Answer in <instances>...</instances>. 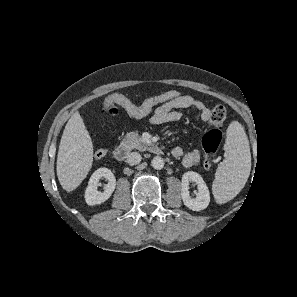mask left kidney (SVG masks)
I'll return each mask as SVG.
<instances>
[{"label":"left kidney","mask_w":297,"mask_h":297,"mask_svg":"<svg viewBox=\"0 0 297 297\" xmlns=\"http://www.w3.org/2000/svg\"><path fill=\"white\" fill-rule=\"evenodd\" d=\"M194 182L198 187L196 198H191L189 194V183ZM181 197L184 205L193 211H200L209 205L210 193L206 183L200 174L188 171L183 174L181 180Z\"/></svg>","instance_id":"obj_1"}]
</instances>
